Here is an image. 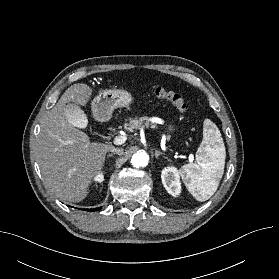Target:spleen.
Instances as JSON below:
<instances>
[{
  "instance_id": "1",
  "label": "spleen",
  "mask_w": 279,
  "mask_h": 279,
  "mask_svg": "<svg viewBox=\"0 0 279 279\" xmlns=\"http://www.w3.org/2000/svg\"><path fill=\"white\" fill-rule=\"evenodd\" d=\"M225 157L221 133L211 120L206 119L195 162L185 164L180 169L188 191L196 200L206 201L216 192L224 173Z\"/></svg>"
}]
</instances>
